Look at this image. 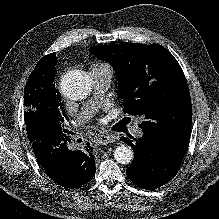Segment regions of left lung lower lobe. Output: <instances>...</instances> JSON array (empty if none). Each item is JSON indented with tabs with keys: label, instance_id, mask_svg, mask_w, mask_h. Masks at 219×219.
I'll use <instances>...</instances> for the list:
<instances>
[{
	"label": "left lung lower lobe",
	"instance_id": "obj_1",
	"mask_svg": "<svg viewBox=\"0 0 219 219\" xmlns=\"http://www.w3.org/2000/svg\"><path fill=\"white\" fill-rule=\"evenodd\" d=\"M133 144L131 139L121 140L132 146L134 159L127 176L137 186L154 190L168 183L179 171L189 145L190 137L170 138L156 132L143 131Z\"/></svg>",
	"mask_w": 219,
	"mask_h": 219
}]
</instances>
